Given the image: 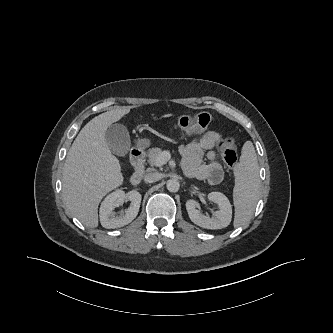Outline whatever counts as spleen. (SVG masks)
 I'll return each instance as SVG.
<instances>
[{
	"instance_id": "3e777b00",
	"label": "spleen",
	"mask_w": 333,
	"mask_h": 333,
	"mask_svg": "<svg viewBox=\"0 0 333 333\" xmlns=\"http://www.w3.org/2000/svg\"><path fill=\"white\" fill-rule=\"evenodd\" d=\"M234 175V227H239L250 220L259 199V165L255 148L251 141L244 143L240 162L234 167Z\"/></svg>"
}]
</instances>
